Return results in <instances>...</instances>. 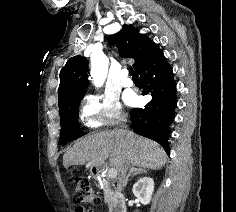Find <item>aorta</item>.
Wrapping results in <instances>:
<instances>
[{"instance_id":"obj_1","label":"aorta","mask_w":236,"mask_h":212,"mask_svg":"<svg viewBox=\"0 0 236 212\" xmlns=\"http://www.w3.org/2000/svg\"><path fill=\"white\" fill-rule=\"evenodd\" d=\"M108 58L104 54L91 55V76L96 87L102 86L108 73Z\"/></svg>"}]
</instances>
